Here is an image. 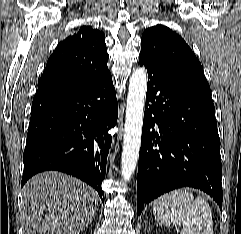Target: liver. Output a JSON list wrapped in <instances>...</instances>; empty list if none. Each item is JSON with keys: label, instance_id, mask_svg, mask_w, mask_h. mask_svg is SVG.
<instances>
[{"label": "liver", "instance_id": "obj_1", "mask_svg": "<svg viewBox=\"0 0 241 234\" xmlns=\"http://www.w3.org/2000/svg\"><path fill=\"white\" fill-rule=\"evenodd\" d=\"M97 192L79 179L56 171L32 177L23 188L26 234H79L98 210Z\"/></svg>", "mask_w": 241, "mask_h": 234}]
</instances>
